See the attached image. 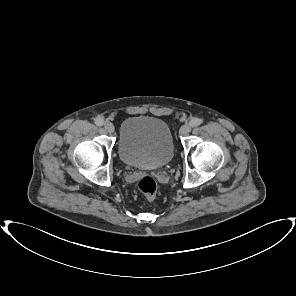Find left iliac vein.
Returning a JSON list of instances; mask_svg holds the SVG:
<instances>
[{
    "instance_id": "left-iliac-vein-1",
    "label": "left iliac vein",
    "mask_w": 296,
    "mask_h": 296,
    "mask_svg": "<svg viewBox=\"0 0 296 296\" xmlns=\"http://www.w3.org/2000/svg\"><path fill=\"white\" fill-rule=\"evenodd\" d=\"M191 131V125L190 124H184L181 128H180V135H187L189 134V132Z\"/></svg>"
}]
</instances>
